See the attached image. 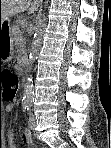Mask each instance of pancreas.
Returning a JSON list of instances; mask_svg holds the SVG:
<instances>
[{
    "mask_svg": "<svg viewBox=\"0 0 111 148\" xmlns=\"http://www.w3.org/2000/svg\"><path fill=\"white\" fill-rule=\"evenodd\" d=\"M16 27L17 28L12 29V32L15 34V44L20 49V51H22L24 47V38L22 36V32L18 30V26Z\"/></svg>",
    "mask_w": 111,
    "mask_h": 148,
    "instance_id": "obj_1",
    "label": "pancreas"
}]
</instances>
